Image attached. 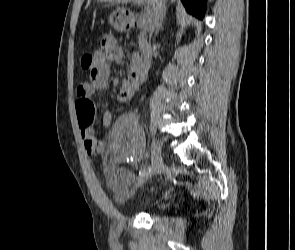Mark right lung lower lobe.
<instances>
[{
  "mask_svg": "<svg viewBox=\"0 0 295 250\" xmlns=\"http://www.w3.org/2000/svg\"><path fill=\"white\" fill-rule=\"evenodd\" d=\"M187 12L192 15L203 18L205 13L206 0H181Z\"/></svg>",
  "mask_w": 295,
  "mask_h": 250,
  "instance_id": "obj_1",
  "label": "right lung lower lobe"
}]
</instances>
